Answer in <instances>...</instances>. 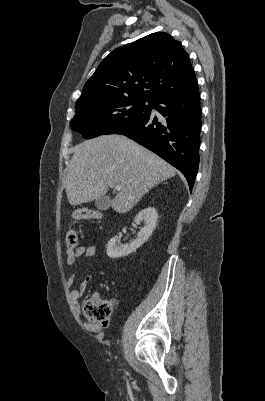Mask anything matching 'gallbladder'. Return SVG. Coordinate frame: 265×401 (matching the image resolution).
<instances>
[{
  "mask_svg": "<svg viewBox=\"0 0 265 401\" xmlns=\"http://www.w3.org/2000/svg\"><path fill=\"white\" fill-rule=\"evenodd\" d=\"M110 205V196H101V198H97V201H95V207H97L99 211H107V209H110Z\"/></svg>",
  "mask_w": 265,
  "mask_h": 401,
  "instance_id": "gallbladder-1",
  "label": "gallbladder"
}]
</instances>
